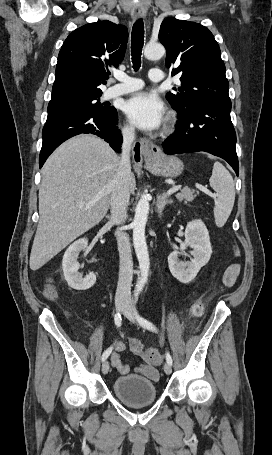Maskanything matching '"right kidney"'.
I'll use <instances>...</instances> for the list:
<instances>
[{
    "label": "right kidney",
    "mask_w": 272,
    "mask_h": 455,
    "mask_svg": "<svg viewBox=\"0 0 272 455\" xmlns=\"http://www.w3.org/2000/svg\"><path fill=\"white\" fill-rule=\"evenodd\" d=\"M88 246V240L81 238L72 243L64 253L62 260V268L64 277L68 285L76 290H87L91 288L96 282V275L89 272L86 277H82L79 273L80 264L77 261L79 252Z\"/></svg>",
    "instance_id": "1"
}]
</instances>
